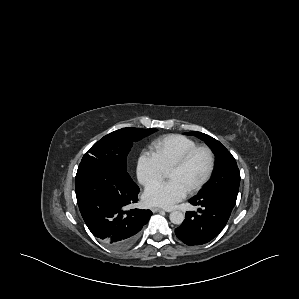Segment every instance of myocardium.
Here are the masks:
<instances>
[{"instance_id": "f54148a6", "label": "myocardium", "mask_w": 299, "mask_h": 299, "mask_svg": "<svg viewBox=\"0 0 299 299\" xmlns=\"http://www.w3.org/2000/svg\"><path fill=\"white\" fill-rule=\"evenodd\" d=\"M200 150H204L207 152L208 157H209V167H208V170H207L205 176L194 187H192L191 189H189L187 191L189 194H194V193L198 192L200 189H202L204 187V185L212 177L214 169H215V155H214L213 150L209 146H206V145H197V146L189 149L187 152H185L168 170V173H169V172L183 168L189 162V160L192 158V156Z\"/></svg>"}]
</instances>
